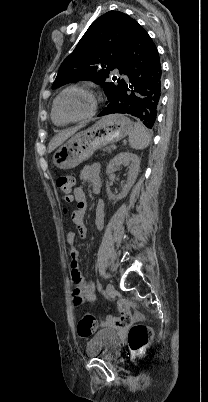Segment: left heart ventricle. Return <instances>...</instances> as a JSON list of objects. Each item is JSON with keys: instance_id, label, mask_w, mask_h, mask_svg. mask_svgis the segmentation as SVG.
I'll use <instances>...</instances> for the list:
<instances>
[{"instance_id": "left-heart-ventricle-1", "label": "left heart ventricle", "mask_w": 208, "mask_h": 402, "mask_svg": "<svg viewBox=\"0 0 208 402\" xmlns=\"http://www.w3.org/2000/svg\"><path fill=\"white\" fill-rule=\"evenodd\" d=\"M94 103V97L80 90H70L58 101L60 112L69 118H77L88 113Z\"/></svg>"}]
</instances>
